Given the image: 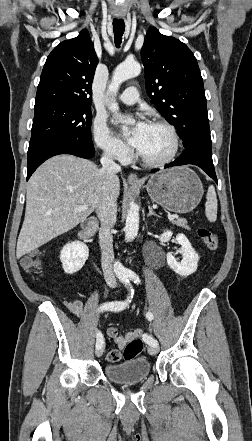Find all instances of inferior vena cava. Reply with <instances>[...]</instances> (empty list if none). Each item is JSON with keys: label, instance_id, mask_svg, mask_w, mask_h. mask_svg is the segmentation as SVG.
Wrapping results in <instances>:
<instances>
[{"label": "inferior vena cava", "instance_id": "inferior-vena-cava-1", "mask_svg": "<svg viewBox=\"0 0 252 441\" xmlns=\"http://www.w3.org/2000/svg\"><path fill=\"white\" fill-rule=\"evenodd\" d=\"M101 164L104 182L97 211L101 223L99 230V243L102 253L101 264L106 283L110 287H115L116 278L113 270L114 252L112 229L116 222L117 202L116 199L110 195V187L111 182L117 177L116 173L121 171V167L114 162L112 155L108 152L103 154Z\"/></svg>", "mask_w": 252, "mask_h": 441}]
</instances>
